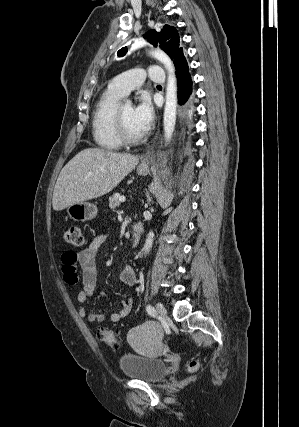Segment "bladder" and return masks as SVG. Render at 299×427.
<instances>
[{"label":"bladder","instance_id":"31cf9c89","mask_svg":"<svg viewBox=\"0 0 299 427\" xmlns=\"http://www.w3.org/2000/svg\"><path fill=\"white\" fill-rule=\"evenodd\" d=\"M119 366L126 377L149 383L163 378L168 369L160 358L137 354L121 355Z\"/></svg>","mask_w":299,"mask_h":427}]
</instances>
